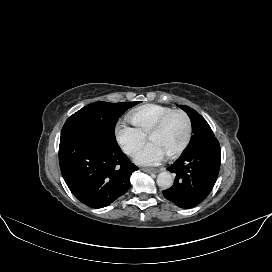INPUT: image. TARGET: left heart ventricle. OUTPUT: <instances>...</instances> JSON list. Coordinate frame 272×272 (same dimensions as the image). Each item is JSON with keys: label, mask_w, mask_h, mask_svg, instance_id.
<instances>
[{"label": "left heart ventricle", "mask_w": 272, "mask_h": 272, "mask_svg": "<svg viewBox=\"0 0 272 272\" xmlns=\"http://www.w3.org/2000/svg\"><path fill=\"white\" fill-rule=\"evenodd\" d=\"M187 132L186 120L182 115H174L166 125L149 140L156 143L168 155L175 151L184 141Z\"/></svg>", "instance_id": "1"}]
</instances>
